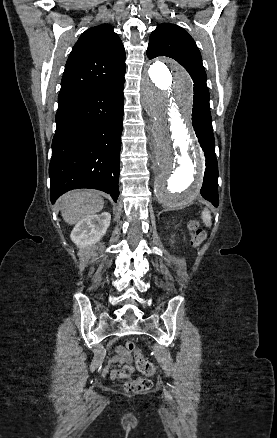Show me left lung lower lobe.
<instances>
[{
  "label": "left lung lower lobe",
  "mask_w": 277,
  "mask_h": 438,
  "mask_svg": "<svg viewBox=\"0 0 277 438\" xmlns=\"http://www.w3.org/2000/svg\"><path fill=\"white\" fill-rule=\"evenodd\" d=\"M192 122L206 158V170L200 193L206 200L217 207L219 205L218 165L215 155V141L210 112L193 109Z\"/></svg>",
  "instance_id": "obj_1"
}]
</instances>
